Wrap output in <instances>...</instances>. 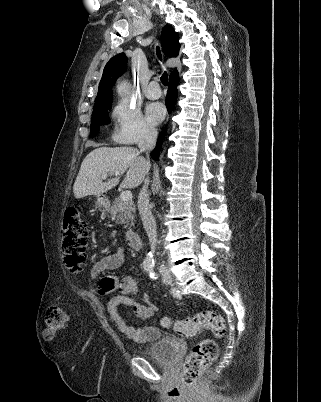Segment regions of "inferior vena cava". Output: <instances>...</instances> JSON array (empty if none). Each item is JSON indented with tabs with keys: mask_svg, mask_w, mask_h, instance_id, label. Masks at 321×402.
Segmentation results:
<instances>
[{
	"mask_svg": "<svg viewBox=\"0 0 321 402\" xmlns=\"http://www.w3.org/2000/svg\"><path fill=\"white\" fill-rule=\"evenodd\" d=\"M157 131L153 128H146L139 141L138 147L141 152H146L147 155V172L150 169V161L148 159V153L155 147L157 141ZM149 181L145 179L144 185L138 196V210L143 223V227L148 235L150 248L155 252V247L157 243V231L155 218L149 208V194L147 191Z\"/></svg>",
	"mask_w": 321,
	"mask_h": 402,
	"instance_id": "602c4592",
	"label": "inferior vena cava"
}]
</instances>
